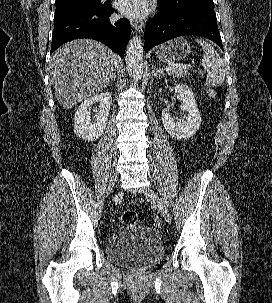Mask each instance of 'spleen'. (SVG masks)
Returning <instances> with one entry per match:
<instances>
[{"label":"spleen","mask_w":272,"mask_h":303,"mask_svg":"<svg viewBox=\"0 0 272 303\" xmlns=\"http://www.w3.org/2000/svg\"><path fill=\"white\" fill-rule=\"evenodd\" d=\"M204 50V56L201 65L207 71L205 84L207 85V94L210 97H215L216 92L211 87L221 85L225 80L226 75V62L215 51L211 44L208 42L196 39L195 40Z\"/></svg>","instance_id":"obj_1"}]
</instances>
